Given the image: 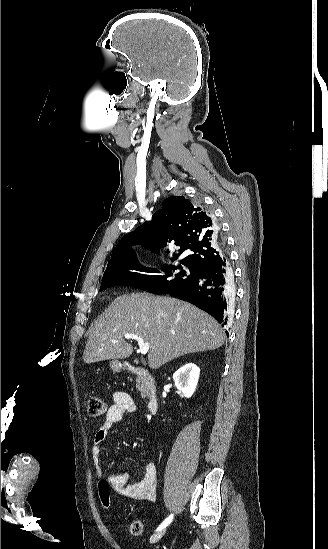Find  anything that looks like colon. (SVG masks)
<instances>
[{
  "label": "colon",
  "instance_id": "colon-1",
  "mask_svg": "<svg viewBox=\"0 0 328 549\" xmlns=\"http://www.w3.org/2000/svg\"><path fill=\"white\" fill-rule=\"evenodd\" d=\"M88 411L91 416H101L106 411V403L98 396H90L88 399ZM98 493L102 508L109 509L111 507V494L109 484L106 480H101L98 483ZM130 533L133 535H141L144 530V525L140 520H134L129 526Z\"/></svg>",
  "mask_w": 328,
  "mask_h": 549
}]
</instances>
